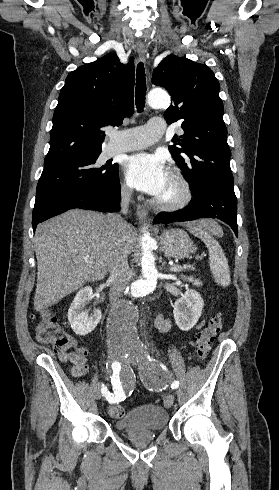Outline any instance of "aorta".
<instances>
[{
  "mask_svg": "<svg viewBox=\"0 0 279 490\" xmlns=\"http://www.w3.org/2000/svg\"><path fill=\"white\" fill-rule=\"evenodd\" d=\"M170 96L162 90H152L148 95V104L152 108H164L170 105ZM155 245L149 232L142 236V277L133 282L130 288L132 297H142L153 292L157 286L158 271L155 267V257L152 249ZM137 312L128 301H121L109 310L107 319V334L114 344L131 345L138 342L136 323Z\"/></svg>",
  "mask_w": 279,
  "mask_h": 490,
  "instance_id": "762f6f07",
  "label": "aorta"
}]
</instances>
